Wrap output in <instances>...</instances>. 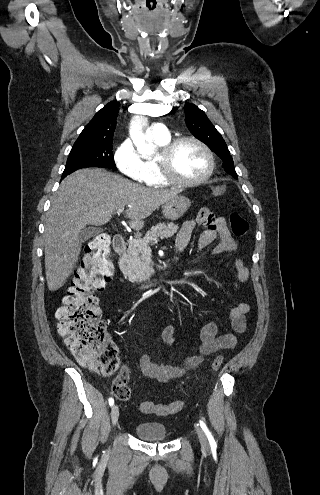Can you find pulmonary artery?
Masks as SVG:
<instances>
[{
  "mask_svg": "<svg viewBox=\"0 0 320 495\" xmlns=\"http://www.w3.org/2000/svg\"><path fill=\"white\" fill-rule=\"evenodd\" d=\"M147 134L152 138L158 139H168L170 138L169 130L162 123H154L152 124L148 130Z\"/></svg>",
  "mask_w": 320,
  "mask_h": 495,
  "instance_id": "e3ab8cb5",
  "label": "pulmonary artery"
}]
</instances>
